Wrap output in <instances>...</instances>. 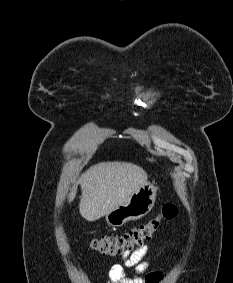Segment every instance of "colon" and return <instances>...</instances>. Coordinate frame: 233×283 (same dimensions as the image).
I'll list each match as a JSON object with an SVG mask.
<instances>
[{
    "label": "colon",
    "instance_id": "1",
    "mask_svg": "<svg viewBox=\"0 0 233 283\" xmlns=\"http://www.w3.org/2000/svg\"><path fill=\"white\" fill-rule=\"evenodd\" d=\"M177 215V207L166 202L159 213L140 224L139 226L120 235L102 236L89 241V246L103 256H115L132 249L134 246L142 245L156 233L163 220L174 219Z\"/></svg>",
    "mask_w": 233,
    "mask_h": 283
}]
</instances>
